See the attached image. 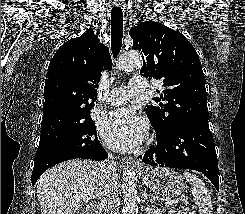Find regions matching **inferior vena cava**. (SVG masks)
I'll list each match as a JSON object with an SVG mask.
<instances>
[{
	"mask_svg": "<svg viewBox=\"0 0 245 214\" xmlns=\"http://www.w3.org/2000/svg\"><path fill=\"white\" fill-rule=\"evenodd\" d=\"M99 166L105 176L101 193L102 208L105 211L104 214H119L118 184L115 179L116 163L113 160V156L109 155V158L100 163Z\"/></svg>",
	"mask_w": 245,
	"mask_h": 214,
	"instance_id": "1",
	"label": "inferior vena cava"
}]
</instances>
